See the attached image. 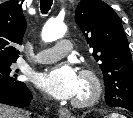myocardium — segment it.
<instances>
[{
	"label": "myocardium",
	"mask_w": 133,
	"mask_h": 118,
	"mask_svg": "<svg viewBox=\"0 0 133 118\" xmlns=\"http://www.w3.org/2000/svg\"><path fill=\"white\" fill-rule=\"evenodd\" d=\"M80 77L86 83L89 92L84 98H75L72 104L78 108H88L95 105L101 98L102 84L97 74L89 68L81 70Z\"/></svg>",
	"instance_id": "obj_1"
}]
</instances>
